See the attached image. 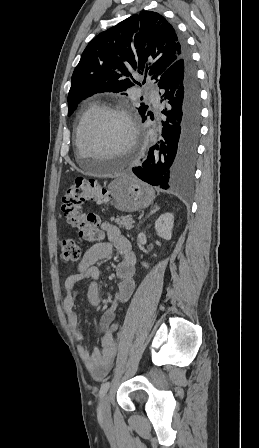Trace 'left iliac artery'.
<instances>
[{
    "label": "left iliac artery",
    "instance_id": "obj_1",
    "mask_svg": "<svg viewBox=\"0 0 259 448\" xmlns=\"http://www.w3.org/2000/svg\"><path fill=\"white\" fill-rule=\"evenodd\" d=\"M110 387V382H105L101 385L100 391H99V397L100 399L106 394Z\"/></svg>",
    "mask_w": 259,
    "mask_h": 448
}]
</instances>
